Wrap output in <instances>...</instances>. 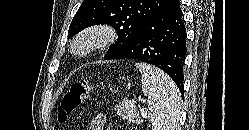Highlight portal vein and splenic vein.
Instances as JSON below:
<instances>
[{"label": "portal vein and splenic vein", "instance_id": "1", "mask_svg": "<svg viewBox=\"0 0 249 130\" xmlns=\"http://www.w3.org/2000/svg\"><path fill=\"white\" fill-rule=\"evenodd\" d=\"M142 114H143V115H146V112L143 111Z\"/></svg>", "mask_w": 249, "mask_h": 130}]
</instances>
